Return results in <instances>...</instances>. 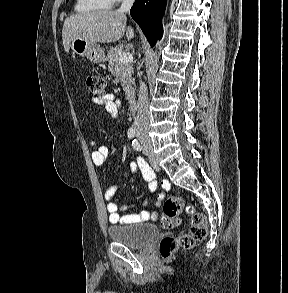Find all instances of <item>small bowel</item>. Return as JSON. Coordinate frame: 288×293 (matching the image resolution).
<instances>
[{
  "label": "small bowel",
  "mask_w": 288,
  "mask_h": 293,
  "mask_svg": "<svg viewBox=\"0 0 288 293\" xmlns=\"http://www.w3.org/2000/svg\"><path fill=\"white\" fill-rule=\"evenodd\" d=\"M90 99L95 106L104 108L111 116H118L121 109V102L113 94L107 93L99 97H91ZM90 146L92 162L97 166L104 164L109 155L108 147L103 144H98L95 141H91ZM130 167L132 171H135L136 169L141 171L144 180L148 183L150 192L156 191L157 182L155 180V174L144 159L137 158L131 162ZM118 188L119 187L117 183H110L104 192V197L107 201L106 209L108 212L109 223L131 224L157 219L158 214L156 212H149L147 210H143L140 213H131L120 216V207L116 202L113 201L115 195L117 194ZM163 198L164 195L162 193L158 194L156 204L159 205ZM131 207H134V205L124 206L123 209H129Z\"/></svg>",
  "instance_id": "obj_1"
}]
</instances>
